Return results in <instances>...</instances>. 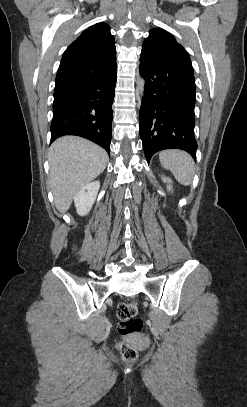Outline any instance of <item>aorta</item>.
<instances>
[{"instance_id": "1", "label": "aorta", "mask_w": 247, "mask_h": 407, "mask_svg": "<svg viewBox=\"0 0 247 407\" xmlns=\"http://www.w3.org/2000/svg\"><path fill=\"white\" fill-rule=\"evenodd\" d=\"M144 85H145V80L143 78H139L137 82V91L140 97L144 95Z\"/></svg>"}]
</instances>
